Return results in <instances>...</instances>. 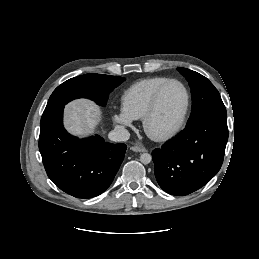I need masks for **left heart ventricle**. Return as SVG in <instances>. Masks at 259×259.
<instances>
[{
    "mask_svg": "<svg viewBox=\"0 0 259 259\" xmlns=\"http://www.w3.org/2000/svg\"><path fill=\"white\" fill-rule=\"evenodd\" d=\"M186 104L185 91L177 83L169 84L162 92L158 109L150 121V131L162 134L172 129L180 120Z\"/></svg>",
    "mask_w": 259,
    "mask_h": 259,
    "instance_id": "obj_1",
    "label": "left heart ventricle"
}]
</instances>
